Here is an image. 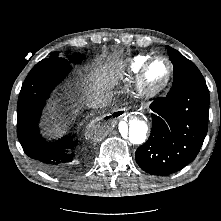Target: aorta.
I'll return each mask as SVG.
<instances>
[{"mask_svg": "<svg viewBox=\"0 0 221 221\" xmlns=\"http://www.w3.org/2000/svg\"><path fill=\"white\" fill-rule=\"evenodd\" d=\"M148 124L141 115H132L120 121L118 135L125 141L132 144H142L146 140Z\"/></svg>", "mask_w": 221, "mask_h": 221, "instance_id": "obj_1", "label": "aorta"}]
</instances>
